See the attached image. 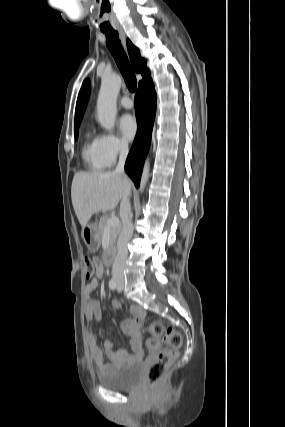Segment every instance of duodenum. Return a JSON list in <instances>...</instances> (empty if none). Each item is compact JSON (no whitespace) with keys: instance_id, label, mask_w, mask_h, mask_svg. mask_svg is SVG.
Wrapping results in <instances>:
<instances>
[{"instance_id":"1","label":"duodenum","mask_w":285,"mask_h":427,"mask_svg":"<svg viewBox=\"0 0 285 427\" xmlns=\"http://www.w3.org/2000/svg\"><path fill=\"white\" fill-rule=\"evenodd\" d=\"M116 254V246L114 243L110 244L105 253V261L107 264H110L115 257Z\"/></svg>"}]
</instances>
